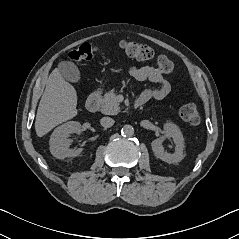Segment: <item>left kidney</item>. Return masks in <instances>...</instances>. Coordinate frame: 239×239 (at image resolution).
<instances>
[{
	"label": "left kidney",
	"mask_w": 239,
	"mask_h": 239,
	"mask_svg": "<svg viewBox=\"0 0 239 239\" xmlns=\"http://www.w3.org/2000/svg\"><path fill=\"white\" fill-rule=\"evenodd\" d=\"M164 137L157 138L152 141L151 146L152 150L154 152V155L161 159L164 162H167L169 164H174L180 162L184 157V138L183 135L179 129V127L172 123L167 122L164 124ZM165 137L172 138L175 144V152L174 153H168L165 151L162 143L164 141Z\"/></svg>",
	"instance_id": "5707ae66"
}]
</instances>
